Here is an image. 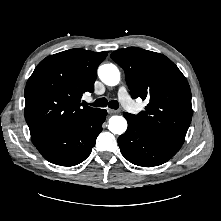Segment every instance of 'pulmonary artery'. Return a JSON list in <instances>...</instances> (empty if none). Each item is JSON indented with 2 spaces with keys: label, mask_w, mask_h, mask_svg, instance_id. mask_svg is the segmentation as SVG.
<instances>
[{
  "label": "pulmonary artery",
  "mask_w": 221,
  "mask_h": 221,
  "mask_svg": "<svg viewBox=\"0 0 221 221\" xmlns=\"http://www.w3.org/2000/svg\"><path fill=\"white\" fill-rule=\"evenodd\" d=\"M118 96H119V99L122 102L123 106L128 110H132L133 104H132V101L129 97L128 90L124 85H121L119 87Z\"/></svg>",
  "instance_id": "obj_1"
}]
</instances>
